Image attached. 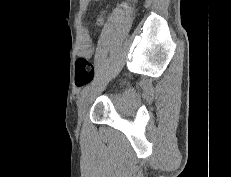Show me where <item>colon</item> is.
<instances>
[{
	"instance_id": "5ec220e1",
	"label": "colon",
	"mask_w": 231,
	"mask_h": 177,
	"mask_svg": "<svg viewBox=\"0 0 231 177\" xmlns=\"http://www.w3.org/2000/svg\"><path fill=\"white\" fill-rule=\"evenodd\" d=\"M94 66L84 56H80L75 63V82L78 87L90 83L94 78Z\"/></svg>"
}]
</instances>
